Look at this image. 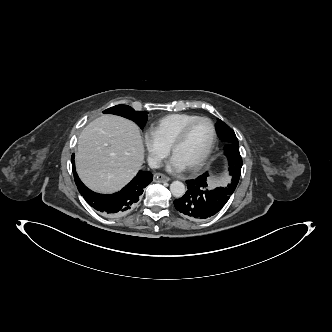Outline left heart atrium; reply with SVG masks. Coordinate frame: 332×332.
<instances>
[{
  "label": "left heart atrium",
  "instance_id": "1",
  "mask_svg": "<svg viewBox=\"0 0 332 332\" xmlns=\"http://www.w3.org/2000/svg\"><path fill=\"white\" fill-rule=\"evenodd\" d=\"M167 168L169 171L179 172L185 169V166L175 156H173L169 161Z\"/></svg>",
  "mask_w": 332,
  "mask_h": 332
}]
</instances>
